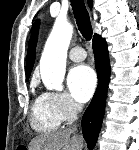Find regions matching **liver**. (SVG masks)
Instances as JSON below:
<instances>
[{
    "label": "liver",
    "mask_w": 139,
    "mask_h": 150,
    "mask_svg": "<svg viewBox=\"0 0 139 150\" xmlns=\"http://www.w3.org/2000/svg\"><path fill=\"white\" fill-rule=\"evenodd\" d=\"M83 139L79 136L71 137L68 130L41 134L29 144L28 150H82Z\"/></svg>",
    "instance_id": "obj_1"
}]
</instances>
